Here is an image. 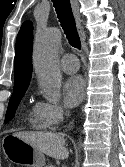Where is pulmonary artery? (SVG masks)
I'll use <instances>...</instances> for the list:
<instances>
[{"label":"pulmonary artery","mask_w":125,"mask_h":167,"mask_svg":"<svg viewBox=\"0 0 125 167\" xmlns=\"http://www.w3.org/2000/svg\"><path fill=\"white\" fill-rule=\"evenodd\" d=\"M61 69L68 74H74L79 69V62L74 54L67 53L59 59Z\"/></svg>","instance_id":"pulmonary-artery-1"}]
</instances>
